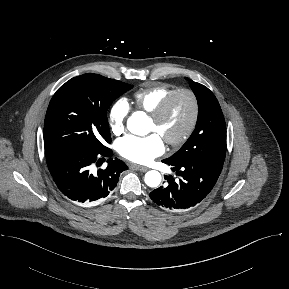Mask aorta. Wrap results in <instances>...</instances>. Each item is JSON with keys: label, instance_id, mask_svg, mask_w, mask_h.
Masks as SVG:
<instances>
[{"label": "aorta", "instance_id": "1", "mask_svg": "<svg viewBox=\"0 0 289 289\" xmlns=\"http://www.w3.org/2000/svg\"><path fill=\"white\" fill-rule=\"evenodd\" d=\"M144 120V114L141 112L134 113L128 120V128L131 131L139 130ZM144 181L149 187H157L161 183V174L158 171L151 170L145 174Z\"/></svg>", "mask_w": 289, "mask_h": 289}]
</instances>
